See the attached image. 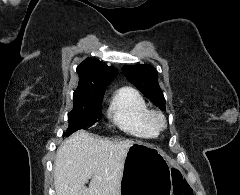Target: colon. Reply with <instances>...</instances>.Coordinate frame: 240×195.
<instances>
[{
	"instance_id": "5ec220e1",
	"label": "colon",
	"mask_w": 240,
	"mask_h": 195,
	"mask_svg": "<svg viewBox=\"0 0 240 195\" xmlns=\"http://www.w3.org/2000/svg\"><path fill=\"white\" fill-rule=\"evenodd\" d=\"M189 185L186 183V186H175L174 190L176 191V195H192L191 192L187 190Z\"/></svg>"
}]
</instances>
